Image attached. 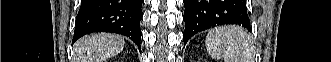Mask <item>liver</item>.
I'll list each match as a JSON object with an SVG mask.
<instances>
[{
    "label": "liver",
    "mask_w": 331,
    "mask_h": 62,
    "mask_svg": "<svg viewBox=\"0 0 331 62\" xmlns=\"http://www.w3.org/2000/svg\"><path fill=\"white\" fill-rule=\"evenodd\" d=\"M124 45V38L116 34H89L75 43L74 60L75 62H104L119 54Z\"/></svg>",
    "instance_id": "6515ba94"
}]
</instances>
